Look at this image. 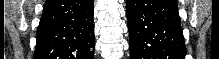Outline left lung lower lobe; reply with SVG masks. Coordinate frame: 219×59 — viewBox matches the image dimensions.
<instances>
[{"label": "left lung lower lobe", "mask_w": 219, "mask_h": 59, "mask_svg": "<svg viewBox=\"0 0 219 59\" xmlns=\"http://www.w3.org/2000/svg\"><path fill=\"white\" fill-rule=\"evenodd\" d=\"M131 59H185L176 0H127Z\"/></svg>", "instance_id": "left-lung-lower-lobe-1"}]
</instances>
